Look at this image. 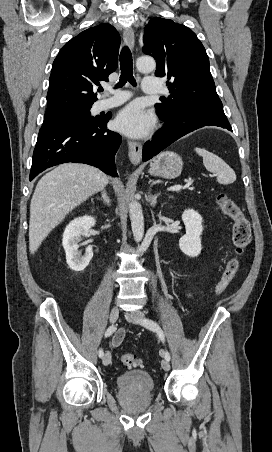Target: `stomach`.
I'll return each mask as SVG.
<instances>
[{"instance_id":"0dacf381","label":"stomach","mask_w":272,"mask_h":452,"mask_svg":"<svg viewBox=\"0 0 272 452\" xmlns=\"http://www.w3.org/2000/svg\"><path fill=\"white\" fill-rule=\"evenodd\" d=\"M183 167L182 158L172 152L164 151L150 162L149 173L165 179H173L181 174Z\"/></svg>"}]
</instances>
